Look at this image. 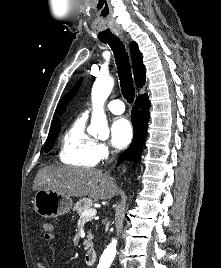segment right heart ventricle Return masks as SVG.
I'll return each instance as SVG.
<instances>
[{
	"mask_svg": "<svg viewBox=\"0 0 221 268\" xmlns=\"http://www.w3.org/2000/svg\"><path fill=\"white\" fill-rule=\"evenodd\" d=\"M85 123L86 116H79L62 135L58 155L62 163L86 168L98 163L97 142L85 131Z\"/></svg>",
	"mask_w": 221,
	"mask_h": 268,
	"instance_id": "e07e8e85",
	"label": "right heart ventricle"
}]
</instances>
